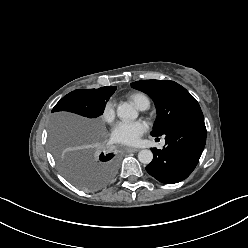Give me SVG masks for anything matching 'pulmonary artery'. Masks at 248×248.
<instances>
[{
	"instance_id": "pulmonary-artery-1",
	"label": "pulmonary artery",
	"mask_w": 248,
	"mask_h": 248,
	"mask_svg": "<svg viewBox=\"0 0 248 248\" xmlns=\"http://www.w3.org/2000/svg\"><path fill=\"white\" fill-rule=\"evenodd\" d=\"M145 109H147V107H143V108H141V110H145Z\"/></svg>"
}]
</instances>
